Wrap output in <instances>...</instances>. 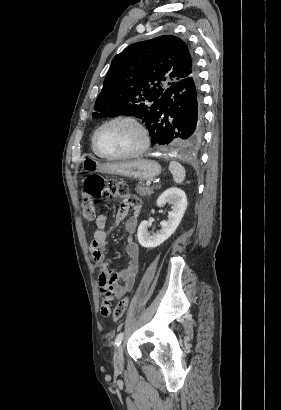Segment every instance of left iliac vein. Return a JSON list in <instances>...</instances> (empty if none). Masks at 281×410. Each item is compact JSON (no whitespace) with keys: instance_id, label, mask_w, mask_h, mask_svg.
<instances>
[{"instance_id":"left-iliac-vein-1","label":"left iliac vein","mask_w":281,"mask_h":410,"mask_svg":"<svg viewBox=\"0 0 281 410\" xmlns=\"http://www.w3.org/2000/svg\"><path fill=\"white\" fill-rule=\"evenodd\" d=\"M123 363H124V357H123V346L119 345L114 353V357H113V364L114 367L117 370H120L123 368Z\"/></svg>"}]
</instances>
